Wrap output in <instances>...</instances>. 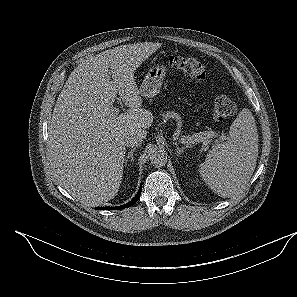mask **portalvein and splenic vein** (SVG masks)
Here are the masks:
<instances>
[{"label": "portal vein and splenic vein", "mask_w": 297, "mask_h": 297, "mask_svg": "<svg viewBox=\"0 0 297 297\" xmlns=\"http://www.w3.org/2000/svg\"><path fill=\"white\" fill-rule=\"evenodd\" d=\"M119 111H120L119 108H117V107L114 108V112L116 114H118ZM181 142L184 143V144H193V139L189 137L187 140L181 139ZM206 149H207V145H204L201 150L203 151V150H206Z\"/></svg>", "instance_id": "1"}]
</instances>
